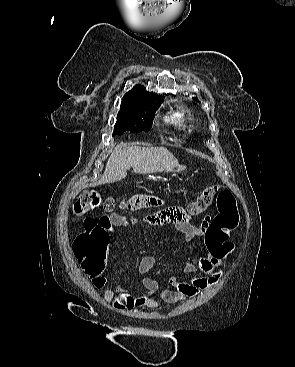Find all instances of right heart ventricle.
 <instances>
[{
    "label": "right heart ventricle",
    "instance_id": "obj_1",
    "mask_svg": "<svg viewBox=\"0 0 295 367\" xmlns=\"http://www.w3.org/2000/svg\"><path fill=\"white\" fill-rule=\"evenodd\" d=\"M166 120L175 125H183L187 122V114L185 111L178 109L166 116Z\"/></svg>",
    "mask_w": 295,
    "mask_h": 367
}]
</instances>
